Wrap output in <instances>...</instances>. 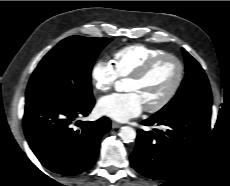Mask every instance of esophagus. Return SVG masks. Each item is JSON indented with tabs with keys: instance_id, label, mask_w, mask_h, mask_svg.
<instances>
[{
	"instance_id": "obj_1",
	"label": "esophagus",
	"mask_w": 230,
	"mask_h": 186,
	"mask_svg": "<svg viewBox=\"0 0 230 186\" xmlns=\"http://www.w3.org/2000/svg\"><path fill=\"white\" fill-rule=\"evenodd\" d=\"M112 128L113 129H116V128H120L121 127V124L120 123H117V122H112Z\"/></svg>"
}]
</instances>
